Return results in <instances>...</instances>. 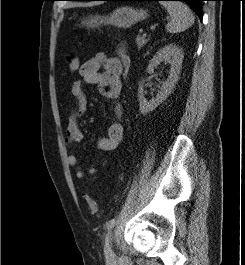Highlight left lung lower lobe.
Wrapping results in <instances>:
<instances>
[{
  "label": "left lung lower lobe",
  "mask_w": 245,
  "mask_h": 265,
  "mask_svg": "<svg viewBox=\"0 0 245 265\" xmlns=\"http://www.w3.org/2000/svg\"><path fill=\"white\" fill-rule=\"evenodd\" d=\"M84 1H100V0H84ZM105 1H168V0H105ZM176 1H184L188 3L193 10L199 15L200 19H202V1L205 0H176Z\"/></svg>",
  "instance_id": "obj_1"
}]
</instances>
